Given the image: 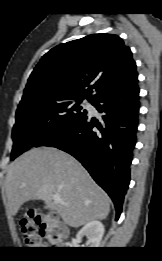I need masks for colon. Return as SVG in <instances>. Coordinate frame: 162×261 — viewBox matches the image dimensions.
<instances>
[{
  "label": "colon",
  "instance_id": "colon-1",
  "mask_svg": "<svg viewBox=\"0 0 162 261\" xmlns=\"http://www.w3.org/2000/svg\"><path fill=\"white\" fill-rule=\"evenodd\" d=\"M19 226L23 242L29 248L60 245L65 237L54 214L44 216L30 209L21 216Z\"/></svg>",
  "mask_w": 162,
  "mask_h": 261
}]
</instances>
